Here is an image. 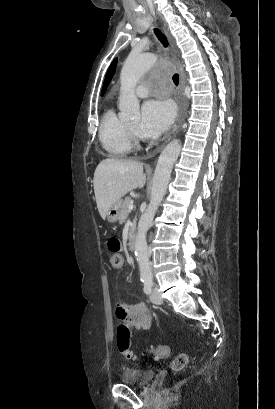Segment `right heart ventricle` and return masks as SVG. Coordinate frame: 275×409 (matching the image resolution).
<instances>
[{"label": "right heart ventricle", "mask_w": 275, "mask_h": 409, "mask_svg": "<svg viewBox=\"0 0 275 409\" xmlns=\"http://www.w3.org/2000/svg\"><path fill=\"white\" fill-rule=\"evenodd\" d=\"M99 140L104 151L115 158L126 156L132 150L128 125L112 109L101 119Z\"/></svg>", "instance_id": "1"}]
</instances>
